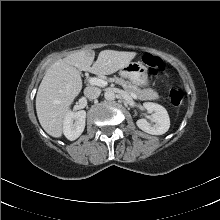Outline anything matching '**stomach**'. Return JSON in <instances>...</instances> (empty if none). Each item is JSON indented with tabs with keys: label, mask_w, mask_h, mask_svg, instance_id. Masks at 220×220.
I'll list each match as a JSON object with an SVG mask.
<instances>
[{
	"label": "stomach",
	"mask_w": 220,
	"mask_h": 220,
	"mask_svg": "<svg viewBox=\"0 0 220 220\" xmlns=\"http://www.w3.org/2000/svg\"><path fill=\"white\" fill-rule=\"evenodd\" d=\"M121 75L127 77L135 86L149 88V79L147 68L141 62H130L121 70Z\"/></svg>",
	"instance_id": "1"
}]
</instances>
